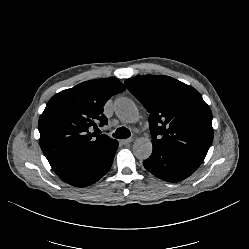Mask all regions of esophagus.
Instances as JSON below:
<instances>
[{
	"label": "esophagus",
	"mask_w": 249,
	"mask_h": 249,
	"mask_svg": "<svg viewBox=\"0 0 249 249\" xmlns=\"http://www.w3.org/2000/svg\"><path fill=\"white\" fill-rule=\"evenodd\" d=\"M130 142H132V139H131V138L121 140V143H122L123 145H127V144H129Z\"/></svg>",
	"instance_id": "34e87169"
}]
</instances>
